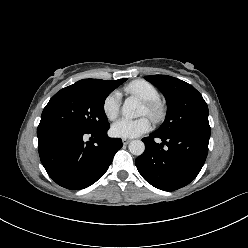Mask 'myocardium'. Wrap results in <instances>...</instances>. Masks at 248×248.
<instances>
[{"mask_svg":"<svg viewBox=\"0 0 248 248\" xmlns=\"http://www.w3.org/2000/svg\"><path fill=\"white\" fill-rule=\"evenodd\" d=\"M146 114L154 121H159L163 118L165 109L160 100L144 102Z\"/></svg>","mask_w":248,"mask_h":248,"instance_id":"f54148a6","label":"myocardium"}]
</instances>
